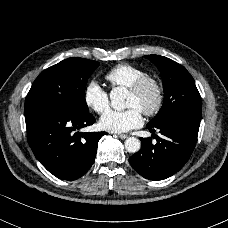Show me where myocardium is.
<instances>
[{
  "label": "myocardium",
  "mask_w": 228,
  "mask_h": 228,
  "mask_svg": "<svg viewBox=\"0 0 228 228\" xmlns=\"http://www.w3.org/2000/svg\"><path fill=\"white\" fill-rule=\"evenodd\" d=\"M150 85L153 86L156 91V99L150 106L143 107L140 111L147 116H154L161 110L165 97L164 87L159 79L151 75H146L137 80L129 88V92L140 96Z\"/></svg>",
  "instance_id": "f54148a6"
}]
</instances>
